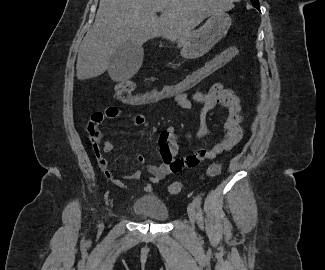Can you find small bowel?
Returning a JSON list of instances; mask_svg holds the SVG:
<instances>
[{
  "label": "small bowel",
  "instance_id": "1",
  "mask_svg": "<svg viewBox=\"0 0 325 270\" xmlns=\"http://www.w3.org/2000/svg\"><path fill=\"white\" fill-rule=\"evenodd\" d=\"M189 76V75H188ZM164 88V87H163ZM161 88V89H163ZM135 96H145L144 92L138 93ZM176 104L183 108L189 109L192 103L199 104L202 111V121L199 130V136L205 138L210 134V131L205 123L204 116L210 110L216 107H223L226 109V119L223 124L224 135L208 150H199L195 154H191L182 159H177L178 152L177 134L173 126H168L163 130L158 137L159 153L162 163L159 165L145 164V156L138 154L136 161L144 165L147 171L151 174L149 182L143 186V190L150 192L153 186L162 181L171 172H178L183 168H193L202 160H213L224 151L232 149L242 136V106L239 98L231 89L225 88L221 83H214L209 91L205 92L200 87L193 90L191 96L183 93L182 96H175ZM155 103H131V106H144ZM125 115V112L118 107H108L104 112H95L92 114L89 123L94 124L95 131H99V126L106 119H117ZM132 127H142L145 124V118L141 114H133L128 116V122ZM91 142L94 147L97 162L102 171L111 180V182L122 188H126V184L111 175L107 159L103 156L104 153L110 152L113 149V144L110 141H105L100 144L101 134L98 138L93 139L91 135V126L88 125ZM141 173L139 171L133 172L128 176V179H139Z\"/></svg>",
  "mask_w": 325,
  "mask_h": 270
}]
</instances>
